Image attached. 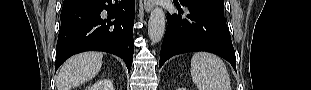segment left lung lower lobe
Instances as JSON below:
<instances>
[{
    "mask_svg": "<svg viewBox=\"0 0 311 90\" xmlns=\"http://www.w3.org/2000/svg\"><path fill=\"white\" fill-rule=\"evenodd\" d=\"M179 14L167 13L168 26L163 39L159 67L174 55L206 51L221 56L236 70L232 46L224 14L193 4H182L189 13L182 16L180 4L174 2Z\"/></svg>",
    "mask_w": 311,
    "mask_h": 90,
    "instance_id": "1",
    "label": "left lung lower lobe"
}]
</instances>
